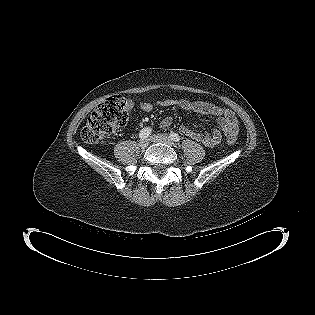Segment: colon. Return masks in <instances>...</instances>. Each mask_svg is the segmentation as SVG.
Here are the masks:
<instances>
[{"label":"colon","mask_w":315,"mask_h":315,"mask_svg":"<svg viewBox=\"0 0 315 315\" xmlns=\"http://www.w3.org/2000/svg\"><path fill=\"white\" fill-rule=\"evenodd\" d=\"M130 120V112L126 107V100L120 95L106 98L88 117L82 128L81 137L86 143H96L109 136L117 128ZM233 144L235 139L227 138Z\"/></svg>","instance_id":"obj_1"}]
</instances>
